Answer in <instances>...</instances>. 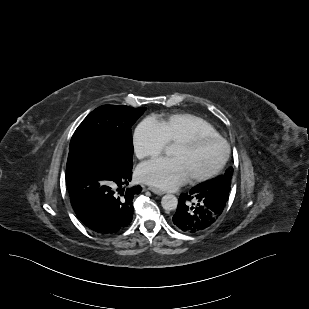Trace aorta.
<instances>
[{
	"mask_svg": "<svg viewBox=\"0 0 309 309\" xmlns=\"http://www.w3.org/2000/svg\"><path fill=\"white\" fill-rule=\"evenodd\" d=\"M161 205L163 209L167 211H172L177 208L178 200L175 195L172 194H166L162 197Z\"/></svg>",
	"mask_w": 309,
	"mask_h": 309,
	"instance_id": "762f6f07",
	"label": "aorta"
}]
</instances>
